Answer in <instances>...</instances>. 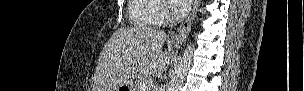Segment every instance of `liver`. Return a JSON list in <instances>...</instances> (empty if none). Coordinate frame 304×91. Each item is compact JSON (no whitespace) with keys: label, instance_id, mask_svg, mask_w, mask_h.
I'll use <instances>...</instances> for the list:
<instances>
[{"label":"liver","instance_id":"obj_1","mask_svg":"<svg viewBox=\"0 0 304 91\" xmlns=\"http://www.w3.org/2000/svg\"><path fill=\"white\" fill-rule=\"evenodd\" d=\"M167 34L147 27L120 28L103 47L94 74L93 91H117L139 75L167 69L170 51L162 52Z\"/></svg>","mask_w":304,"mask_h":91}]
</instances>
